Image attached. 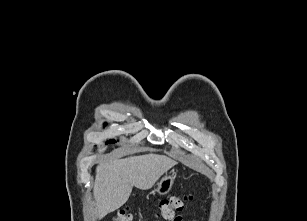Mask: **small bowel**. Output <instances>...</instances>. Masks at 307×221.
I'll use <instances>...</instances> for the list:
<instances>
[{"label":"small bowel","mask_w":307,"mask_h":221,"mask_svg":"<svg viewBox=\"0 0 307 221\" xmlns=\"http://www.w3.org/2000/svg\"><path fill=\"white\" fill-rule=\"evenodd\" d=\"M170 220L171 221H184V218L181 214H179V215H174Z\"/></svg>","instance_id":"c3829d8e"}]
</instances>
